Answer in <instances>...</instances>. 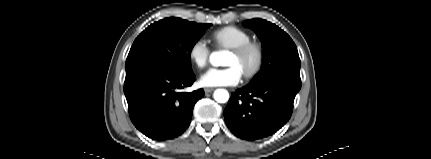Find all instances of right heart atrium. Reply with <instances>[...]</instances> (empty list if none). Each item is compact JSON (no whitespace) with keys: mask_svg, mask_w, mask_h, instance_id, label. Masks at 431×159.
<instances>
[{"mask_svg":"<svg viewBox=\"0 0 431 159\" xmlns=\"http://www.w3.org/2000/svg\"><path fill=\"white\" fill-rule=\"evenodd\" d=\"M188 56L191 62L197 67H205L210 56V48L207 41L204 38L196 39L188 49Z\"/></svg>","mask_w":431,"mask_h":159,"instance_id":"1","label":"right heart atrium"}]
</instances>
